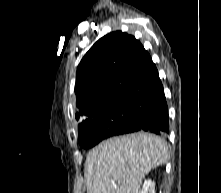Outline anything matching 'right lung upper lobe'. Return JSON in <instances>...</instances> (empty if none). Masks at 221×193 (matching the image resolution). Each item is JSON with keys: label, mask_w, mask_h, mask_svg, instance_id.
<instances>
[{"label": "right lung upper lobe", "mask_w": 221, "mask_h": 193, "mask_svg": "<svg viewBox=\"0 0 221 193\" xmlns=\"http://www.w3.org/2000/svg\"><path fill=\"white\" fill-rule=\"evenodd\" d=\"M160 82L149 53L135 37L121 31L99 39L77 68V120L93 116L121 99L148 100Z\"/></svg>", "instance_id": "right-lung-upper-lobe-1"}]
</instances>
